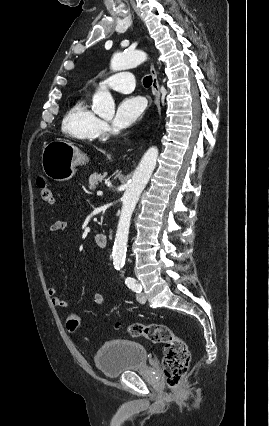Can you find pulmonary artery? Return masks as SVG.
<instances>
[{
	"label": "pulmonary artery",
	"mask_w": 269,
	"mask_h": 426,
	"mask_svg": "<svg viewBox=\"0 0 269 426\" xmlns=\"http://www.w3.org/2000/svg\"><path fill=\"white\" fill-rule=\"evenodd\" d=\"M99 86L111 88L122 93H130L135 87V77L130 71H123L103 79L99 82Z\"/></svg>",
	"instance_id": "obj_1"
}]
</instances>
